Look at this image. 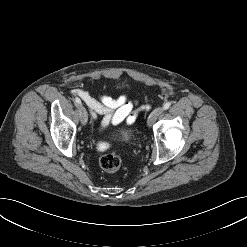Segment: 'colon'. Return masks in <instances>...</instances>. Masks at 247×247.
<instances>
[{"label": "colon", "instance_id": "obj_1", "mask_svg": "<svg viewBox=\"0 0 247 247\" xmlns=\"http://www.w3.org/2000/svg\"><path fill=\"white\" fill-rule=\"evenodd\" d=\"M100 167L106 172H116L121 166V159L115 153L105 154L100 158Z\"/></svg>", "mask_w": 247, "mask_h": 247}]
</instances>
